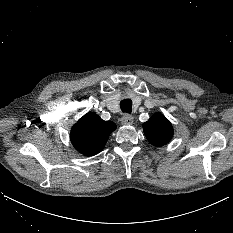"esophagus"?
I'll return each mask as SVG.
<instances>
[{"label":"esophagus","mask_w":233,"mask_h":233,"mask_svg":"<svg viewBox=\"0 0 233 233\" xmlns=\"http://www.w3.org/2000/svg\"><path fill=\"white\" fill-rule=\"evenodd\" d=\"M121 122L124 125H131L133 124V117L132 115L129 114H125L122 118H121Z\"/></svg>","instance_id":"obj_1"}]
</instances>
